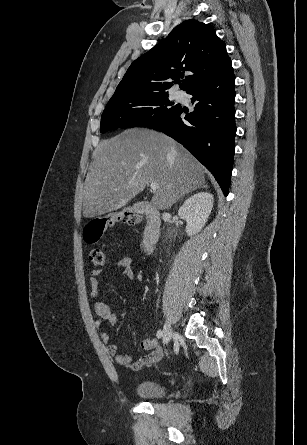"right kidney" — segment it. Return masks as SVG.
Returning a JSON list of instances; mask_svg holds the SVG:
<instances>
[{"mask_svg": "<svg viewBox=\"0 0 307 445\" xmlns=\"http://www.w3.org/2000/svg\"><path fill=\"white\" fill-rule=\"evenodd\" d=\"M214 196L211 192H196L189 196L180 206L178 214L187 223L186 233L188 237L200 233L205 227L209 214L213 208Z\"/></svg>", "mask_w": 307, "mask_h": 445, "instance_id": "ca27d5eb", "label": "right kidney"}]
</instances>
